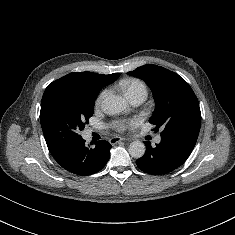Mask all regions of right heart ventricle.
I'll use <instances>...</instances> for the list:
<instances>
[{"instance_id":"e07e8e85","label":"right heart ventricle","mask_w":235,"mask_h":235,"mask_svg":"<svg viewBox=\"0 0 235 235\" xmlns=\"http://www.w3.org/2000/svg\"><path fill=\"white\" fill-rule=\"evenodd\" d=\"M121 86L127 96L137 91L146 92L145 84L138 79H129L121 83Z\"/></svg>"}]
</instances>
